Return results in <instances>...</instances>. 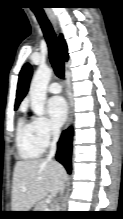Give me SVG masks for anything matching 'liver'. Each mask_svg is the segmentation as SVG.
Masks as SVG:
<instances>
[{"mask_svg": "<svg viewBox=\"0 0 123 219\" xmlns=\"http://www.w3.org/2000/svg\"><path fill=\"white\" fill-rule=\"evenodd\" d=\"M66 175L64 167L52 159L18 161L13 174L12 211H29L47 195L56 196Z\"/></svg>", "mask_w": 123, "mask_h": 219, "instance_id": "6515ba94", "label": "liver"}]
</instances>
